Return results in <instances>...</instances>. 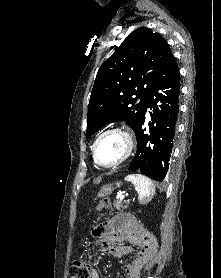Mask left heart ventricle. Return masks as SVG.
Instances as JSON below:
<instances>
[{"label":"left heart ventricle","mask_w":221,"mask_h":278,"mask_svg":"<svg viewBox=\"0 0 221 278\" xmlns=\"http://www.w3.org/2000/svg\"><path fill=\"white\" fill-rule=\"evenodd\" d=\"M125 149L124 138L118 133H110L100 139L96 154L101 164L111 165L123 157Z\"/></svg>","instance_id":"b2bd125f"}]
</instances>
